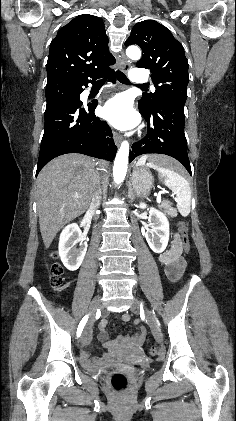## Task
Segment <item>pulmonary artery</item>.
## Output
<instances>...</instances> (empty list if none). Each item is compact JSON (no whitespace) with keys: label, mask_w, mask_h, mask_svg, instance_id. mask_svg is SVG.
<instances>
[{"label":"pulmonary artery","mask_w":236,"mask_h":421,"mask_svg":"<svg viewBox=\"0 0 236 421\" xmlns=\"http://www.w3.org/2000/svg\"><path fill=\"white\" fill-rule=\"evenodd\" d=\"M131 80L136 86H145L150 83L149 79H146L147 71L145 69H134L131 71Z\"/></svg>","instance_id":"pulmonary-artery-1"}]
</instances>
